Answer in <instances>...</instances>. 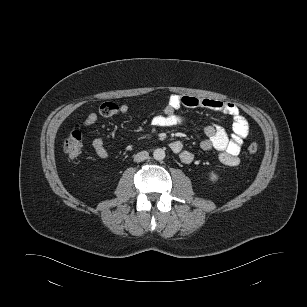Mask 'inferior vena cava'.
I'll return each mask as SVG.
<instances>
[{"mask_svg": "<svg viewBox=\"0 0 307 307\" xmlns=\"http://www.w3.org/2000/svg\"><path fill=\"white\" fill-rule=\"evenodd\" d=\"M148 157H149V153L147 151H141V152H138L136 155H134V161L142 162L146 160Z\"/></svg>", "mask_w": 307, "mask_h": 307, "instance_id": "1", "label": "inferior vena cava"}]
</instances>
